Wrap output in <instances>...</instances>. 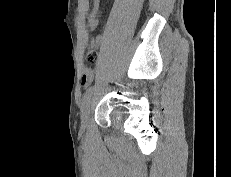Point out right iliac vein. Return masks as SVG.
<instances>
[{"mask_svg":"<svg viewBox=\"0 0 231 177\" xmlns=\"http://www.w3.org/2000/svg\"><path fill=\"white\" fill-rule=\"evenodd\" d=\"M91 105H92V97L91 95L85 99L82 108H81V127L82 129H85L88 121V117L90 114L91 110Z\"/></svg>","mask_w":231,"mask_h":177,"instance_id":"right-iliac-vein-1","label":"right iliac vein"}]
</instances>
